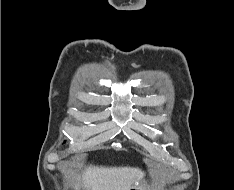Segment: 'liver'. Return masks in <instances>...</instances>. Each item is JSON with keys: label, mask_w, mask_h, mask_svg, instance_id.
<instances>
[{"label": "liver", "mask_w": 234, "mask_h": 190, "mask_svg": "<svg viewBox=\"0 0 234 190\" xmlns=\"http://www.w3.org/2000/svg\"><path fill=\"white\" fill-rule=\"evenodd\" d=\"M143 175L139 168L89 166L77 180L82 179L84 190H129Z\"/></svg>", "instance_id": "1"}]
</instances>
